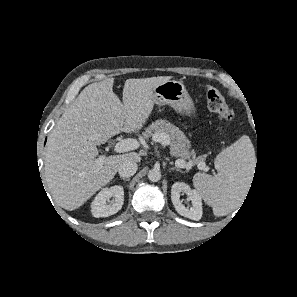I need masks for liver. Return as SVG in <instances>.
Wrapping results in <instances>:
<instances>
[{
	"label": "liver",
	"mask_w": 297,
	"mask_h": 297,
	"mask_svg": "<svg viewBox=\"0 0 297 297\" xmlns=\"http://www.w3.org/2000/svg\"><path fill=\"white\" fill-rule=\"evenodd\" d=\"M168 76L127 79L123 104L113 92L114 78L85 87L52 130L45 152L48 190L55 202L72 211L108 184L126 160L141 161L129 152L96 163V145L121 132L139 131L154 107L152 89Z\"/></svg>",
	"instance_id": "6515ba94"
}]
</instances>
